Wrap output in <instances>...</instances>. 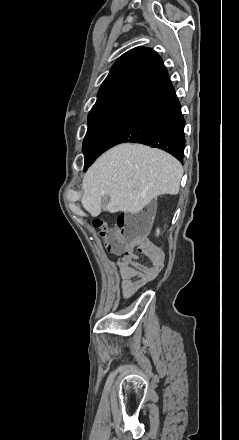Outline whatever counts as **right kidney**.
Segmentation results:
<instances>
[{
  "label": "right kidney",
  "mask_w": 239,
  "mask_h": 440,
  "mask_svg": "<svg viewBox=\"0 0 239 440\" xmlns=\"http://www.w3.org/2000/svg\"><path fill=\"white\" fill-rule=\"evenodd\" d=\"M159 232H160V230H157V236H158Z\"/></svg>",
  "instance_id": "ca27d5eb"
}]
</instances>
